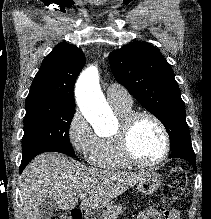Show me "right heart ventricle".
<instances>
[{
  "mask_svg": "<svg viewBox=\"0 0 211 219\" xmlns=\"http://www.w3.org/2000/svg\"><path fill=\"white\" fill-rule=\"evenodd\" d=\"M112 108L122 119L132 112V105L112 106ZM88 159L92 165L106 169H123L129 166L120 154L116 134L97 137Z\"/></svg>",
  "mask_w": 211,
  "mask_h": 219,
  "instance_id": "right-heart-ventricle-1",
  "label": "right heart ventricle"
}]
</instances>
